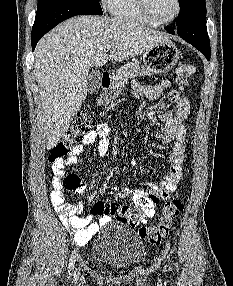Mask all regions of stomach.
<instances>
[{"mask_svg": "<svg viewBox=\"0 0 233 286\" xmlns=\"http://www.w3.org/2000/svg\"><path fill=\"white\" fill-rule=\"evenodd\" d=\"M179 60V51L170 41H162L146 51L143 63L152 73H166L170 71Z\"/></svg>", "mask_w": 233, "mask_h": 286, "instance_id": "obj_1", "label": "stomach"}]
</instances>
